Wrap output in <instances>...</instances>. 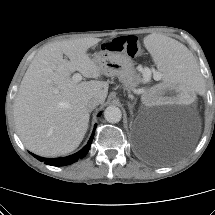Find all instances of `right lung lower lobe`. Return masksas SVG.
<instances>
[{
  "mask_svg": "<svg viewBox=\"0 0 215 215\" xmlns=\"http://www.w3.org/2000/svg\"><path fill=\"white\" fill-rule=\"evenodd\" d=\"M96 126L97 125H95L94 131H93V133H92V135H91V137H90V139L88 141V144L82 150H80L79 152H77V153H75L73 155H70V156H67V157H61V158L46 159V158H43V157L36 156V155H34L32 153L31 154L35 158H37L39 161H45V164H47V165H51V166H66V165H70V164L76 162L78 159H82L83 157H85V155L89 151L90 144L92 143Z\"/></svg>",
  "mask_w": 215,
  "mask_h": 215,
  "instance_id": "98d812e1",
  "label": "right lung lower lobe"
}]
</instances>
